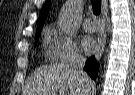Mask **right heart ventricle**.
Segmentation results:
<instances>
[{
  "label": "right heart ventricle",
  "mask_w": 135,
  "mask_h": 95,
  "mask_svg": "<svg viewBox=\"0 0 135 95\" xmlns=\"http://www.w3.org/2000/svg\"><path fill=\"white\" fill-rule=\"evenodd\" d=\"M51 34H52V29H51V28H46V29L44 30V37H45L47 40H49Z\"/></svg>",
  "instance_id": "obj_1"
}]
</instances>
